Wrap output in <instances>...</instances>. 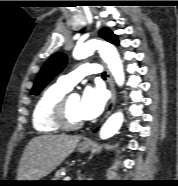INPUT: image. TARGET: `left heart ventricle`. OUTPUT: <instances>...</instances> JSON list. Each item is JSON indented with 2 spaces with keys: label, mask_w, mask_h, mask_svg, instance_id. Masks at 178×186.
<instances>
[{
  "label": "left heart ventricle",
  "mask_w": 178,
  "mask_h": 186,
  "mask_svg": "<svg viewBox=\"0 0 178 186\" xmlns=\"http://www.w3.org/2000/svg\"><path fill=\"white\" fill-rule=\"evenodd\" d=\"M68 117L72 122L84 121L79 114V99L70 97L67 103Z\"/></svg>",
  "instance_id": "left-heart-ventricle-1"
}]
</instances>
